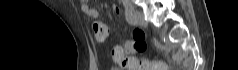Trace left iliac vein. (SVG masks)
<instances>
[{"instance_id": "1", "label": "left iliac vein", "mask_w": 238, "mask_h": 70, "mask_svg": "<svg viewBox=\"0 0 238 70\" xmlns=\"http://www.w3.org/2000/svg\"><path fill=\"white\" fill-rule=\"evenodd\" d=\"M133 19H134V24L136 25H140V26L147 25V22L144 19V14L139 10L133 11Z\"/></svg>"}]
</instances>
